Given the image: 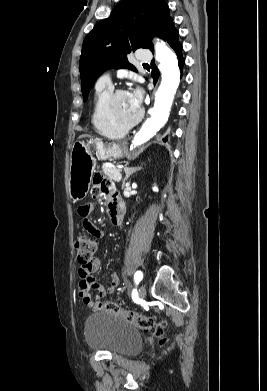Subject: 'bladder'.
Returning <instances> with one entry per match:
<instances>
[{
    "mask_svg": "<svg viewBox=\"0 0 267 391\" xmlns=\"http://www.w3.org/2000/svg\"><path fill=\"white\" fill-rule=\"evenodd\" d=\"M85 341L92 350L117 355H134L142 349L140 332L109 312L93 313L85 324Z\"/></svg>",
    "mask_w": 267,
    "mask_h": 391,
    "instance_id": "1",
    "label": "bladder"
}]
</instances>
